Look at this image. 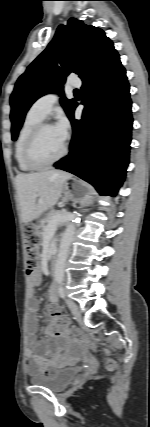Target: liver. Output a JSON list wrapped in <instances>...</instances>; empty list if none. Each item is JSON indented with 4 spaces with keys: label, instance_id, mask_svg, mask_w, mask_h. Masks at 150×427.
Here are the masks:
<instances>
[{
    "label": "liver",
    "instance_id": "liver-1",
    "mask_svg": "<svg viewBox=\"0 0 150 427\" xmlns=\"http://www.w3.org/2000/svg\"><path fill=\"white\" fill-rule=\"evenodd\" d=\"M71 175L63 171L19 174L16 187L24 223L38 218L52 208L63 192V184Z\"/></svg>",
    "mask_w": 150,
    "mask_h": 427
}]
</instances>
